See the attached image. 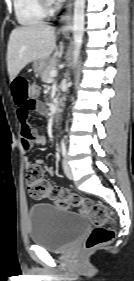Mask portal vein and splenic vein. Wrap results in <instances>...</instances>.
Listing matches in <instances>:
<instances>
[{
  "instance_id": "1",
  "label": "portal vein and splenic vein",
  "mask_w": 134,
  "mask_h": 281,
  "mask_svg": "<svg viewBox=\"0 0 134 281\" xmlns=\"http://www.w3.org/2000/svg\"><path fill=\"white\" fill-rule=\"evenodd\" d=\"M57 75V71L56 70H53L50 72V77L53 78Z\"/></svg>"
}]
</instances>
